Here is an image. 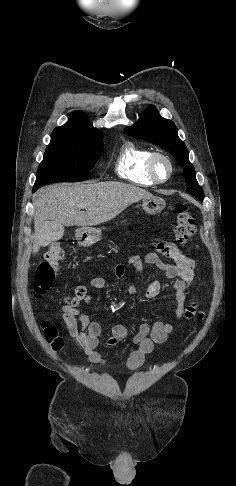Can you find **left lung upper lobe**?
<instances>
[{
    "instance_id": "left-lung-upper-lobe-1",
    "label": "left lung upper lobe",
    "mask_w": 236,
    "mask_h": 486,
    "mask_svg": "<svg viewBox=\"0 0 236 486\" xmlns=\"http://www.w3.org/2000/svg\"><path fill=\"white\" fill-rule=\"evenodd\" d=\"M125 134L143 138L169 151L177 163L184 167L185 180L189 185L187 191L203 201V190L196 180L194 167L189 161V152L184 142L179 139L174 122L161 117L157 109L151 105L137 123L125 129Z\"/></svg>"
}]
</instances>
